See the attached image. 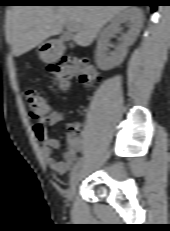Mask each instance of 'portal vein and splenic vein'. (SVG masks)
<instances>
[{"instance_id": "obj_1", "label": "portal vein and splenic vein", "mask_w": 170, "mask_h": 231, "mask_svg": "<svg viewBox=\"0 0 170 231\" xmlns=\"http://www.w3.org/2000/svg\"><path fill=\"white\" fill-rule=\"evenodd\" d=\"M70 31H75L74 28L70 27L69 25L66 26Z\"/></svg>"}]
</instances>
